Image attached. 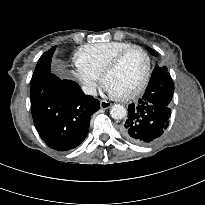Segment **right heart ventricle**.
I'll list each match as a JSON object with an SVG mask.
<instances>
[{
    "instance_id": "obj_1",
    "label": "right heart ventricle",
    "mask_w": 205,
    "mask_h": 205,
    "mask_svg": "<svg viewBox=\"0 0 205 205\" xmlns=\"http://www.w3.org/2000/svg\"><path fill=\"white\" fill-rule=\"evenodd\" d=\"M132 46L127 42H106L82 46L76 54V62L101 77L108 63L121 51Z\"/></svg>"
}]
</instances>
